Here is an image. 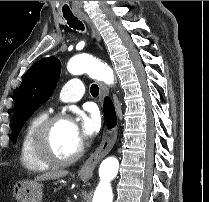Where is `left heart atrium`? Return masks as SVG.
Returning a JSON list of instances; mask_svg holds the SVG:
<instances>
[{
  "mask_svg": "<svg viewBox=\"0 0 209 202\" xmlns=\"http://www.w3.org/2000/svg\"><path fill=\"white\" fill-rule=\"evenodd\" d=\"M72 124L74 135L80 144L92 137L98 129L96 114L94 113L90 116L80 113Z\"/></svg>",
  "mask_w": 209,
  "mask_h": 202,
  "instance_id": "left-heart-atrium-1",
  "label": "left heart atrium"
}]
</instances>
